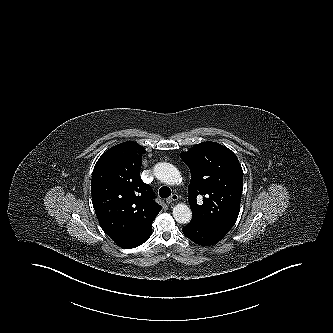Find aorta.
<instances>
[{
	"mask_svg": "<svg viewBox=\"0 0 333 333\" xmlns=\"http://www.w3.org/2000/svg\"><path fill=\"white\" fill-rule=\"evenodd\" d=\"M154 174L158 180L168 185H175L180 180L179 170L172 164L161 162L155 165ZM173 217L180 224H187L192 218L191 209L184 203H179L173 208Z\"/></svg>",
	"mask_w": 333,
	"mask_h": 333,
	"instance_id": "obj_1",
	"label": "aorta"
}]
</instances>
